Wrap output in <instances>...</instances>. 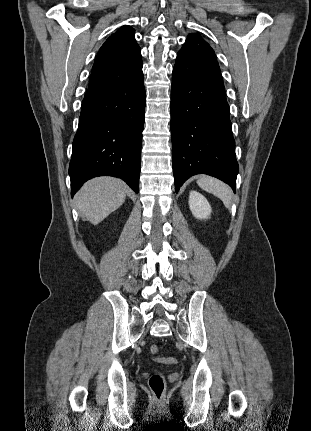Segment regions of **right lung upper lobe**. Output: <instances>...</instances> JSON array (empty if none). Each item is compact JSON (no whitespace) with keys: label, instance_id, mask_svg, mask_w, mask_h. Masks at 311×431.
Returning <instances> with one entry per match:
<instances>
[{"label":"right lung upper lobe","instance_id":"1","mask_svg":"<svg viewBox=\"0 0 311 431\" xmlns=\"http://www.w3.org/2000/svg\"><path fill=\"white\" fill-rule=\"evenodd\" d=\"M140 47L134 29L122 26L102 45L96 55L89 87L122 79L142 65Z\"/></svg>","mask_w":311,"mask_h":431}]
</instances>
